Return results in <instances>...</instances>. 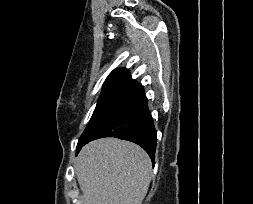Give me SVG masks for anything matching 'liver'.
I'll list each match as a JSON object with an SVG mask.
<instances>
[{
	"label": "liver",
	"mask_w": 253,
	"mask_h": 204,
	"mask_svg": "<svg viewBox=\"0 0 253 204\" xmlns=\"http://www.w3.org/2000/svg\"><path fill=\"white\" fill-rule=\"evenodd\" d=\"M74 166L84 204H141L152 176L148 154L117 138L88 143Z\"/></svg>",
	"instance_id": "6515ba94"
}]
</instances>
